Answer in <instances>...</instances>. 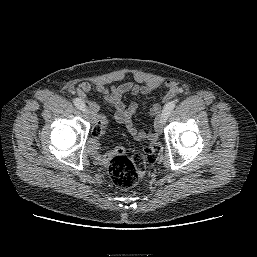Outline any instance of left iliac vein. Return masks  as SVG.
I'll return each mask as SVG.
<instances>
[{
	"label": "left iliac vein",
	"mask_w": 257,
	"mask_h": 257,
	"mask_svg": "<svg viewBox=\"0 0 257 257\" xmlns=\"http://www.w3.org/2000/svg\"><path fill=\"white\" fill-rule=\"evenodd\" d=\"M166 119H167V117L164 116V115H162V114L158 117L157 123H158L159 132L162 131V127H163V125L165 124Z\"/></svg>",
	"instance_id": "1"
}]
</instances>
